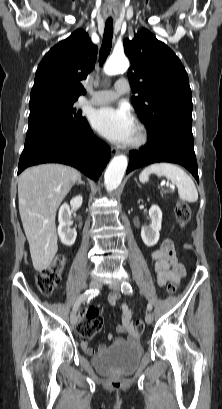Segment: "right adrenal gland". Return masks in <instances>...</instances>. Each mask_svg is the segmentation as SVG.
Returning <instances> with one entry per match:
<instances>
[{"instance_id": "obj_1", "label": "right adrenal gland", "mask_w": 222, "mask_h": 409, "mask_svg": "<svg viewBox=\"0 0 222 409\" xmlns=\"http://www.w3.org/2000/svg\"><path fill=\"white\" fill-rule=\"evenodd\" d=\"M76 184L77 185H79V184L85 185V183L81 180V177L78 179V182Z\"/></svg>"}]
</instances>
